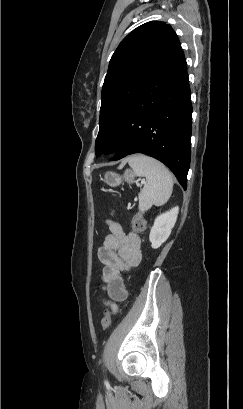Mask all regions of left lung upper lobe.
Here are the masks:
<instances>
[{
	"mask_svg": "<svg viewBox=\"0 0 243 409\" xmlns=\"http://www.w3.org/2000/svg\"><path fill=\"white\" fill-rule=\"evenodd\" d=\"M180 45L165 22H147L129 33L111 57L102 87L96 156L114 154L144 89Z\"/></svg>",
	"mask_w": 243,
	"mask_h": 409,
	"instance_id": "obj_1",
	"label": "left lung upper lobe"
}]
</instances>
